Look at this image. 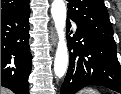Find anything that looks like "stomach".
<instances>
[{
    "mask_svg": "<svg viewBox=\"0 0 121 94\" xmlns=\"http://www.w3.org/2000/svg\"><path fill=\"white\" fill-rule=\"evenodd\" d=\"M79 94H98V93L91 88H87L82 90Z\"/></svg>",
    "mask_w": 121,
    "mask_h": 94,
    "instance_id": "obj_1",
    "label": "stomach"
}]
</instances>
